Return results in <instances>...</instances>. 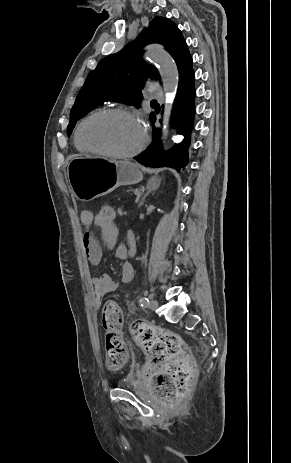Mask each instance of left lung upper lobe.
Instances as JSON below:
<instances>
[{"label":"left lung upper lobe","instance_id":"left-lung-upper-lobe-1","mask_svg":"<svg viewBox=\"0 0 291 463\" xmlns=\"http://www.w3.org/2000/svg\"><path fill=\"white\" fill-rule=\"evenodd\" d=\"M149 44L165 47L177 64L180 77L192 69V57L181 31L170 19L155 17L139 35V40L103 58L90 71L71 109L68 136L77 120L104 102L113 101L139 107L141 89L146 78L160 77L158 70L142 59V49Z\"/></svg>","mask_w":291,"mask_h":463}]
</instances>
